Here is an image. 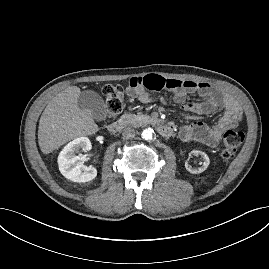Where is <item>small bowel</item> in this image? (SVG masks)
I'll return each mask as SVG.
<instances>
[{
    "label": "small bowel",
    "mask_w": 269,
    "mask_h": 269,
    "mask_svg": "<svg viewBox=\"0 0 269 269\" xmlns=\"http://www.w3.org/2000/svg\"><path fill=\"white\" fill-rule=\"evenodd\" d=\"M152 92H174L175 101L187 112L206 115L218 108L224 110L218 122L210 127L202 122H194L183 126L179 131L182 141H195L207 146H216L223 133L235 128L242 120V110L238 103L229 95L212 87L208 83L191 80L179 81L165 79L159 75L133 77L130 79L127 93L141 102H149ZM197 93L204 98L202 102H186L187 95Z\"/></svg>",
    "instance_id": "c3829d8e"
}]
</instances>
